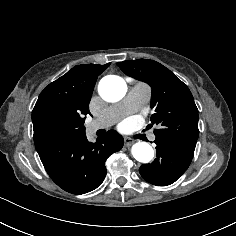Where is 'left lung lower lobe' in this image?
<instances>
[{"label": "left lung lower lobe", "instance_id": "obj_1", "mask_svg": "<svg viewBox=\"0 0 236 236\" xmlns=\"http://www.w3.org/2000/svg\"><path fill=\"white\" fill-rule=\"evenodd\" d=\"M157 158L139 168L141 176L149 183L167 186L174 183L189 167L196 144L177 139L156 137Z\"/></svg>", "mask_w": 236, "mask_h": 236}]
</instances>
